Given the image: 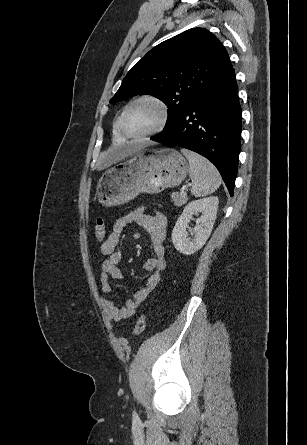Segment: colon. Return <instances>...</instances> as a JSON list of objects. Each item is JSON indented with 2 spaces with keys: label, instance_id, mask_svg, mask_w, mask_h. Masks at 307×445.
Segmentation results:
<instances>
[{
  "label": "colon",
  "instance_id": "5ec220e1",
  "mask_svg": "<svg viewBox=\"0 0 307 445\" xmlns=\"http://www.w3.org/2000/svg\"><path fill=\"white\" fill-rule=\"evenodd\" d=\"M106 235V224L105 220L103 218H98L95 225V237L98 241H103L104 237ZM146 326V317L145 315H140V317L137 319V322L135 324V327L133 329V336L140 335Z\"/></svg>",
  "mask_w": 307,
  "mask_h": 445
}]
</instances>
